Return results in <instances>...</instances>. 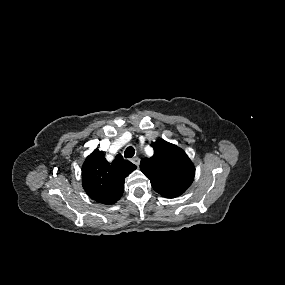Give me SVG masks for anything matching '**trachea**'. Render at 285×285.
Listing matches in <instances>:
<instances>
[{
    "mask_svg": "<svg viewBox=\"0 0 285 285\" xmlns=\"http://www.w3.org/2000/svg\"><path fill=\"white\" fill-rule=\"evenodd\" d=\"M135 154V149L132 146L126 148L124 152L125 158H132Z\"/></svg>",
    "mask_w": 285,
    "mask_h": 285,
    "instance_id": "obj_1",
    "label": "trachea"
}]
</instances>
